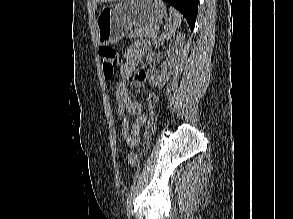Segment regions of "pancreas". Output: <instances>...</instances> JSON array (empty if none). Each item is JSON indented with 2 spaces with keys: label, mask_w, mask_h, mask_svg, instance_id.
<instances>
[{
  "label": "pancreas",
  "mask_w": 293,
  "mask_h": 219,
  "mask_svg": "<svg viewBox=\"0 0 293 219\" xmlns=\"http://www.w3.org/2000/svg\"><path fill=\"white\" fill-rule=\"evenodd\" d=\"M158 26L153 23L137 26L134 31H130L129 37H149L154 39L158 33Z\"/></svg>",
  "instance_id": "1"
}]
</instances>
